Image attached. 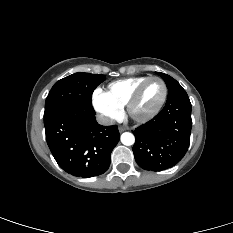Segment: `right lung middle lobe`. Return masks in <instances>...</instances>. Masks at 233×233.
Wrapping results in <instances>:
<instances>
[{
	"mask_svg": "<svg viewBox=\"0 0 233 233\" xmlns=\"http://www.w3.org/2000/svg\"><path fill=\"white\" fill-rule=\"evenodd\" d=\"M105 79V75L79 72L59 80L47 96L44 115L71 103H91L94 89Z\"/></svg>",
	"mask_w": 233,
	"mask_h": 233,
	"instance_id": "right-lung-middle-lobe-1",
	"label": "right lung middle lobe"
}]
</instances>
